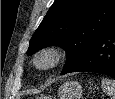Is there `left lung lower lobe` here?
Listing matches in <instances>:
<instances>
[{
    "label": "left lung lower lobe",
    "instance_id": "1",
    "mask_svg": "<svg viewBox=\"0 0 115 99\" xmlns=\"http://www.w3.org/2000/svg\"><path fill=\"white\" fill-rule=\"evenodd\" d=\"M82 71L98 72L115 78V24L67 73Z\"/></svg>",
    "mask_w": 115,
    "mask_h": 99
}]
</instances>
